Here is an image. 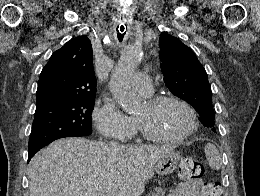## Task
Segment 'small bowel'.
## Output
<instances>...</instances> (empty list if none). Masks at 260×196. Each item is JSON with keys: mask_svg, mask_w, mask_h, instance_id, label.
<instances>
[{"mask_svg": "<svg viewBox=\"0 0 260 196\" xmlns=\"http://www.w3.org/2000/svg\"><path fill=\"white\" fill-rule=\"evenodd\" d=\"M207 184L200 178L185 180L180 182L168 196H209Z\"/></svg>", "mask_w": 260, "mask_h": 196, "instance_id": "c3829d8e", "label": "small bowel"}]
</instances>
